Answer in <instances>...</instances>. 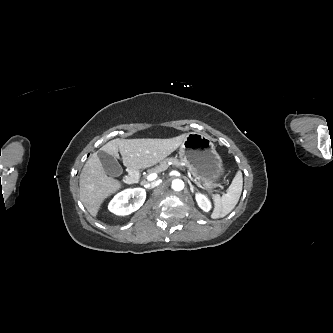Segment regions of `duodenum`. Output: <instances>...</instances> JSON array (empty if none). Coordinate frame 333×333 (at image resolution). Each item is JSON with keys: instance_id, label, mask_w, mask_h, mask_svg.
I'll use <instances>...</instances> for the list:
<instances>
[{"instance_id": "410a0bca", "label": "duodenum", "mask_w": 333, "mask_h": 333, "mask_svg": "<svg viewBox=\"0 0 333 333\" xmlns=\"http://www.w3.org/2000/svg\"><path fill=\"white\" fill-rule=\"evenodd\" d=\"M139 179V173L135 169H129L127 175L124 178V182L127 184L136 183Z\"/></svg>"}]
</instances>
